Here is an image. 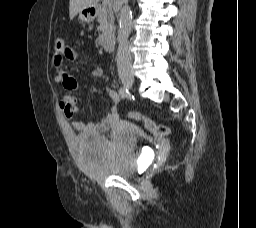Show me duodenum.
Instances as JSON below:
<instances>
[{
  "instance_id": "1",
  "label": "duodenum",
  "mask_w": 256,
  "mask_h": 228,
  "mask_svg": "<svg viewBox=\"0 0 256 228\" xmlns=\"http://www.w3.org/2000/svg\"><path fill=\"white\" fill-rule=\"evenodd\" d=\"M98 8L93 5L88 9L89 14L92 17H95L97 14ZM99 44L106 50L112 51L114 48V36L111 33H104L99 37Z\"/></svg>"
}]
</instances>
